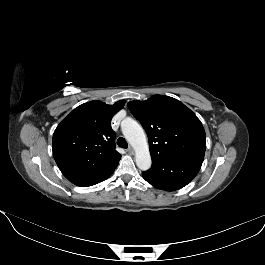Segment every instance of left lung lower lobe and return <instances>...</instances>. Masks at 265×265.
I'll use <instances>...</instances> for the list:
<instances>
[{
  "label": "left lung lower lobe",
  "mask_w": 265,
  "mask_h": 265,
  "mask_svg": "<svg viewBox=\"0 0 265 265\" xmlns=\"http://www.w3.org/2000/svg\"><path fill=\"white\" fill-rule=\"evenodd\" d=\"M204 153H192L152 162V167L143 172V178L152 186L175 191L190 183L199 172Z\"/></svg>",
  "instance_id": "0a47b994"
}]
</instances>
